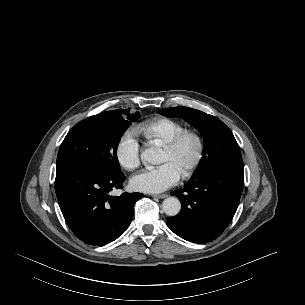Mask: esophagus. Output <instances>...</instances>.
<instances>
[{"instance_id": "esophagus-1", "label": "esophagus", "mask_w": 305, "mask_h": 305, "mask_svg": "<svg viewBox=\"0 0 305 305\" xmlns=\"http://www.w3.org/2000/svg\"><path fill=\"white\" fill-rule=\"evenodd\" d=\"M168 195L167 194H155V195H152V197L154 198H157V199H164L166 198Z\"/></svg>"}]
</instances>
